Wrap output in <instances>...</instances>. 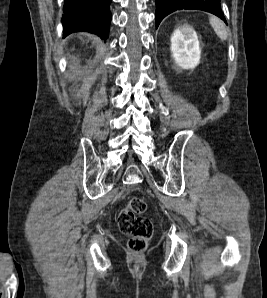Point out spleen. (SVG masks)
<instances>
[{"mask_svg": "<svg viewBox=\"0 0 267 298\" xmlns=\"http://www.w3.org/2000/svg\"><path fill=\"white\" fill-rule=\"evenodd\" d=\"M209 22L212 26V28L214 29L215 33L217 34V36L222 40L225 41L228 39V33L225 27V24L223 23V21H221L219 18L215 17V16H211L209 18Z\"/></svg>", "mask_w": 267, "mask_h": 298, "instance_id": "3e777b00", "label": "spleen"}]
</instances>
